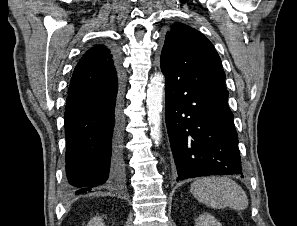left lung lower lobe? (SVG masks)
<instances>
[{
	"label": "left lung lower lobe",
	"instance_id": "left-lung-lower-lobe-1",
	"mask_svg": "<svg viewBox=\"0 0 297 226\" xmlns=\"http://www.w3.org/2000/svg\"><path fill=\"white\" fill-rule=\"evenodd\" d=\"M165 119L177 181L209 175L243 176L227 89L199 90L166 76Z\"/></svg>",
	"mask_w": 297,
	"mask_h": 226
}]
</instances>
